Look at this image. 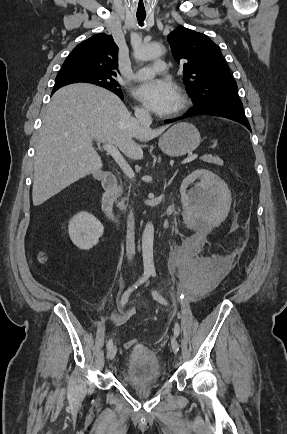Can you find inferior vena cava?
Listing matches in <instances>:
<instances>
[{"mask_svg": "<svg viewBox=\"0 0 287 434\" xmlns=\"http://www.w3.org/2000/svg\"><path fill=\"white\" fill-rule=\"evenodd\" d=\"M135 116L144 127L148 128L152 123V118L145 109H136ZM126 252L128 259L132 260L135 255L134 215L132 211H130L127 219Z\"/></svg>", "mask_w": 287, "mask_h": 434, "instance_id": "inferior-vena-cava-1", "label": "inferior vena cava"}]
</instances>
